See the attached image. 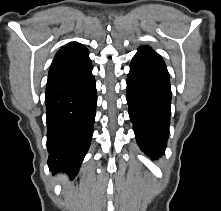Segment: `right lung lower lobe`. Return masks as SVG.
<instances>
[{
	"mask_svg": "<svg viewBox=\"0 0 221 211\" xmlns=\"http://www.w3.org/2000/svg\"><path fill=\"white\" fill-rule=\"evenodd\" d=\"M92 64L47 80L48 166L74 178L89 149L96 113V82Z\"/></svg>",
	"mask_w": 221,
	"mask_h": 211,
	"instance_id": "obj_1",
	"label": "right lung lower lobe"
}]
</instances>
